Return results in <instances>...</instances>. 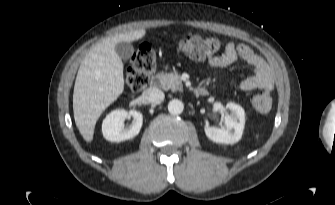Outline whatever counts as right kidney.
<instances>
[{
  "instance_id": "right-kidney-1",
  "label": "right kidney",
  "mask_w": 335,
  "mask_h": 205,
  "mask_svg": "<svg viewBox=\"0 0 335 205\" xmlns=\"http://www.w3.org/2000/svg\"><path fill=\"white\" fill-rule=\"evenodd\" d=\"M128 116L134 118L133 123L128 128H124V121ZM143 123L142 113L138 111L127 112L123 109L112 111L106 116L102 123V133L106 140L121 142L138 135Z\"/></svg>"
}]
</instances>
